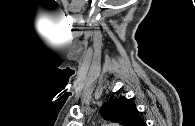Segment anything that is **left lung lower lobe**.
Here are the masks:
<instances>
[{
  "label": "left lung lower lobe",
  "instance_id": "0a47b994",
  "mask_svg": "<svg viewBox=\"0 0 195 126\" xmlns=\"http://www.w3.org/2000/svg\"><path fill=\"white\" fill-rule=\"evenodd\" d=\"M141 126H147V124L143 122V123L141 124Z\"/></svg>",
  "mask_w": 195,
  "mask_h": 126
}]
</instances>
